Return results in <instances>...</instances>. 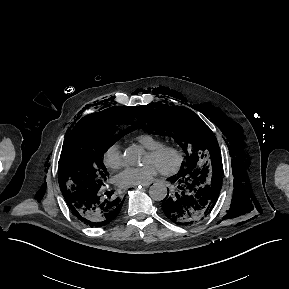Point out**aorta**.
Returning a JSON list of instances; mask_svg holds the SVG:
<instances>
[{
  "label": "aorta",
  "instance_id": "aorta-1",
  "mask_svg": "<svg viewBox=\"0 0 289 289\" xmlns=\"http://www.w3.org/2000/svg\"><path fill=\"white\" fill-rule=\"evenodd\" d=\"M123 158L127 164L139 166L144 162L145 152L140 146L132 145L125 149ZM149 195L155 201H162L167 195V188L162 183H154L149 189Z\"/></svg>",
  "mask_w": 289,
  "mask_h": 289
}]
</instances>
